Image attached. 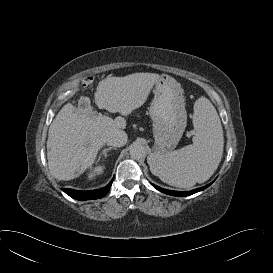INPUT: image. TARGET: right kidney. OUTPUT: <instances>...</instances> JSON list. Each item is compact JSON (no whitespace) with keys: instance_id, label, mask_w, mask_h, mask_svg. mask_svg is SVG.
I'll return each mask as SVG.
<instances>
[{"instance_id":"ca27d5eb","label":"right kidney","mask_w":273,"mask_h":273,"mask_svg":"<svg viewBox=\"0 0 273 273\" xmlns=\"http://www.w3.org/2000/svg\"><path fill=\"white\" fill-rule=\"evenodd\" d=\"M103 170H104L103 166H98L92 172L89 173L88 177L93 178L95 175L101 174Z\"/></svg>"}]
</instances>
